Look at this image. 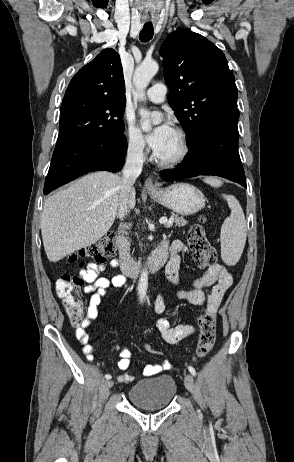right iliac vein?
<instances>
[{
  "instance_id": "63e3f726",
  "label": "right iliac vein",
  "mask_w": 294,
  "mask_h": 462,
  "mask_svg": "<svg viewBox=\"0 0 294 462\" xmlns=\"http://www.w3.org/2000/svg\"><path fill=\"white\" fill-rule=\"evenodd\" d=\"M113 384H114L113 381H108V382L106 383V385H107L108 388H111V387L113 386Z\"/></svg>"
}]
</instances>
